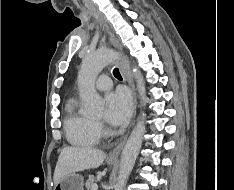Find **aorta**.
<instances>
[{"mask_svg":"<svg viewBox=\"0 0 234 190\" xmlns=\"http://www.w3.org/2000/svg\"><path fill=\"white\" fill-rule=\"evenodd\" d=\"M117 57V52L112 49H99L93 53L87 54L82 60L81 69L78 75V86L86 113L93 114L98 113L101 110L102 98L96 92L94 82L103 68L113 62ZM132 71L141 100L144 101L146 90L143 76L137 68H133ZM144 121L145 114L142 112L139 121L123 148L115 190H123L126 180L133 169L145 133Z\"/></svg>","mask_w":234,"mask_h":190,"instance_id":"1","label":"aorta"}]
</instances>
